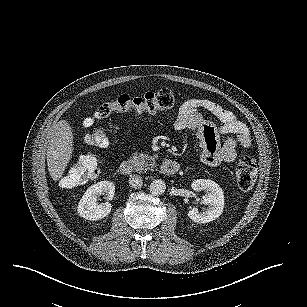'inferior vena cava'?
I'll return each instance as SVG.
<instances>
[{
    "label": "inferior vena cava",
    "instance_id": "obj_1",
    "mask_svg": "<svg viewBox=\"0 0 307 307\" xmlns=\"http://www.w3.org/2000/svg\"><path fill=\"white\" fill-rule=\"evenodd\" d=\"M128 182L129 186L134 189H140L143 185V179L138 174L131 175Z\"/></svg>",
    "mask_w": 307,
    "mask_h": 307
}]
</instances>
